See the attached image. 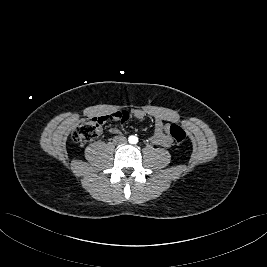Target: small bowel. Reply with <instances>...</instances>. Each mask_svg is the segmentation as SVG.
<instances>
[{
	"instance_id": "c3829d8e",
	"label": "small bowel",
	"mask_w": 267,
	"mask_h": 267,
	"mask_svg": "<svg viewBox=\"0 0 267 267\" xmlns=\"http://www.w3.org/2000/svg\"><path fill=\"white\" fill-rule=\"evenodd\" d=\"M118 112V111H117ZM125 112V111H123ZM116 112L107 114V117L112 116ZM127 114V119L129 117L134 118L135 120L141 122L146 117V112L141 109H135L132 110L130 113L125 112ZM154 118V133L152 137L150 138V141L158 146L162 147H170L173 144V138L170 135L169 129H170V122L171 118L168 115H161V114H154L152 115ZM109 131L112 134H118L120 133V129L118 127H111Z\"/></svg>"
}]
</instances>
